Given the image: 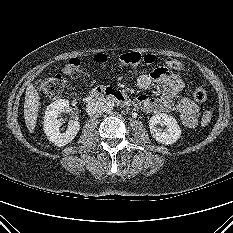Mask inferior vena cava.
I'll use <instances>...</instances> for the list:
<instances>
[{"label": "inferior vena cava", "mask_w": 233, "mask_h": 233, "mask_svg": "<svg viewBox=\"0 0 233 233\" xmlns=\"http://www.w3.org/2000/svg\"><path fill=\"white\" fill-rule=\"evenodd\" d=\"M86 111L90 117H100L104 112V103L100 101H91L86 105Z\"/></svg>", "instance_id": "602c4592"}]
</instances>
